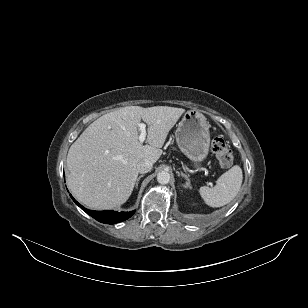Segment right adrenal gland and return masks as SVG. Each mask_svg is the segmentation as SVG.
<instances>
[{
	"label": "right adrenal gland",
	"instance_id": "2a0ac1e0",
	"mask_svg": "<svg viewBox=\"0 0 308 308\" xmlns=\"http://www.w3.org/2000/svg\"><path fill=\"white\" fill-rule=\"evenodd\" d=\"M144 175H140L138 178H137V181H136V188H138V183L140 181V179L143 177Z\"/></svg>",
	"mask_w": 308,
	"mask_h": 308
}]
</instances>
